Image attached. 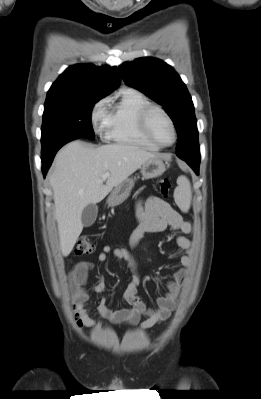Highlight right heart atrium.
<instances>
[{
    "instance_id": "obj_1",
    "label": "right heart atrium",
    "mask_w": 261,
    "mask_h": 399,
    "mask_svg": "<svg viewBox=\"0 0 261 399\" xmlns=\"http://www.w3.org/2000/svg\"><path fill=\"white\" fill-rule=\"evenodd\" d=\"M108 99L98 101L91 112V123L96 134L102 135L107 128Z\"/></svg>"
}]
</instances>
